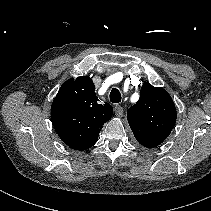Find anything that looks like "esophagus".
Returning a JSON list of instances; mask_svg holds the SVG:
<instances>
[{"label": "esophagus", "instance_id": "esophagus-1", "mask_svg": "<svg viewBox=\"0 0 211 211\" xmlns=\"http://www.w3.org/2000/svg\"><path fill=\"white\" fill-rule=\"evenodd\" d=\"M114 112H115V115L118 117H122L124 113L123 108L120 105L114 106Z\"/></svg>", "mask_w": 211, "mask_h": 211}]
</instances>
